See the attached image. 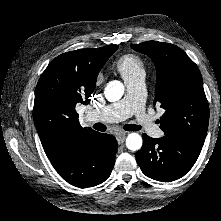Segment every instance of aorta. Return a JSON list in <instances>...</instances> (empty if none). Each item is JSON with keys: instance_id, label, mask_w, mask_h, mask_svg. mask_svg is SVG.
<instances>
[{"instance_id": "obj_1", "label": "aorta", "mask_w": 221, "mask_h": 221, "mask_svg": "<svg viewBox=\"0 0 221 221\" xmlns=\"http://www.w3.org/2000/svg\"><path fill=\"white\" fill-rule=\"evenodd\" d=\"M124 94V85L118 80H113L107 83L104 89V95L110 102L118 101ZM143 140L138 133H130L126 138V146L131 151H138L141 149Z\"/></svg>"}]
</instances>
